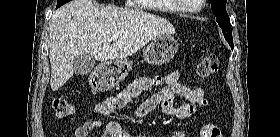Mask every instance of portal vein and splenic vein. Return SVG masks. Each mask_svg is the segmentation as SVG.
<instances>
[{
    "instance_id": "obj_1",
    "label": "portal vein and splenic vein",
    "mask_w": 280,
    "mask_h": 137,
    "mask_svg": "<svg viewBox=\"0 0 280 137\" xmlns=\"http://www.w3.org/2000/svg\"><path fill=\"white\" fill-rule=\"evenodd\" d=\"M117 39H118V36L114 35V36L111 37L110 40H111V41H116Z\"/></svg>"
}]
</instances>
